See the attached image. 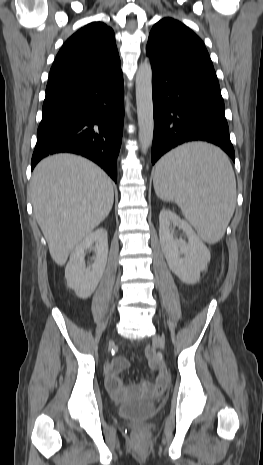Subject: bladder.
Returning <instances> with one entry per match:
<instances>
[{
    "label": "bladder",
    "mask_w": 263,
    "mask_h": 465,
    "mask_svg": "<svg viewBox=\"0 0 263 465\" xmlns=\"http://www.w3.org/2000/svg\"><path fill=\"white\" fill-rule=\"evenodd\" d=\"M157 406L149 400H134L121 404L117 413L120 417L126 419L144 420L155 415Z\"/></svg>",
    "instance_id": "bladder-1"
}]
</instances>
